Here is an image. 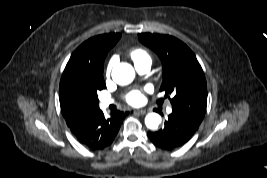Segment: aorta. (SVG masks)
<instances>
[{
	"label": "aorta",
	"mask_w": 267,
	"mask_h": 178,
	"mask_svg": "<svg viewBox=\"0 0 267 178\" xmlns=\"http://www.w3.org/2000/svg\"><path fill=\"white\" fill-rule=\"evenodd\" d=\"M134 77V68L128 63H118L112 69V78L119 85L130 84ZM161 121V116L157 113H149L145 117V125L151 130H156Z\"/></svg>",
	"instance_id": "obj_1"
}]
</instances>
